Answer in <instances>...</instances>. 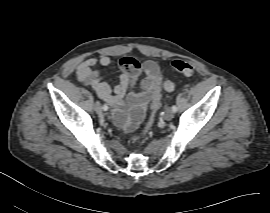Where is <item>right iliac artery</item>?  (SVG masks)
Wrapping results in <instances>:
<instances>
[{
    "mask_svg": "<svg viewBox=\"0 0 270 213\" xmlns=\"http://www.w3.org/2000/svg\"><path fill=\"white\" fill-rule=\"evenodd\" d=\"M103 110H105V111L108 110V106L106 104L103 105Z\"/></svg>",
    "mask_w": 270,
    "mask_h": 213,
    "instance_id": "82829eb1",
    "label": "right iliac artery"
}]
</instances>
